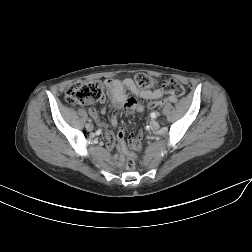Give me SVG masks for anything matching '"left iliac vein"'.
Returning <instances> with one entry per match:
<instances>
[{
	"label": "left iliac vein",
	"mask_w": 252,
	"mask_h": 252,
	"mask_svg": "<svg viewBox=\"0 0 252 252\" xmlns=\"http://www.w3.org/2000/svg\"><path fill=\"white\" fill-rule=\"evenodd\" d=\"M150 127L152 130H158L159 129V123L157 121H151Z\"/></svg>",
	"instance_id": "4c4485c4"
}]
</instances>
